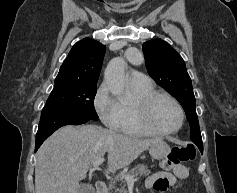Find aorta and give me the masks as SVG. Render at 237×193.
Wrapping results in <instances>:
<instances>
[{
    "label": "aorta",
    "instance_id": "762f6f07",
    "mask_svg": "<svg viewBox=\"0 0 237 193\" xmlns=\"http://www.w3.org/2000/svg\"><path fill=\"white\" fill-rule=\"evenodd\" d=\"M125 66L126 63L124 59L116 57L109 62L104 73L105 81L107 82L110 91L114 95H117L121 102L128 100L125 95L127 86L125 80Z\"/></svg>",
    "mask_w": 237,
    "mask_h": 193
}]
</instances>
